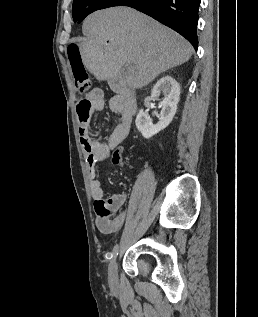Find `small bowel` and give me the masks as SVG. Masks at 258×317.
Instances as JSON below:
<instances>
[{"instance_id": "small-bowel-1", "label": "small bowel", "mask_w": 258, "mask_h": 317, "mask_svg": "<svg viewBox=\"0 0 258 317\" xmlns=\"http://www.w3.org/2000/svg\"><path fill=\"white\" fill-rule=\"evenodd\" d=\"M104 107L103 93L100 89L95 88L89 92L87 97L77 102L76 114L80 144L85 156L90 179V192L94 201L96 227L102 233L112 234L123 226L130 208L125 207L127 196L124 193L115 194L108 199L104 198L101 181L97 178L96 166L99 161L108 157L110 150L117 147L129 135L135 111L131 100L123 95L112 96L109 100V107L118 115L119 121L108 142L100 143L91 137L89 123L93 114L103 110ZM112 162L117 166L124 165L122 157L118 158L115 153Z\"/></svg>"}]
</instances>
